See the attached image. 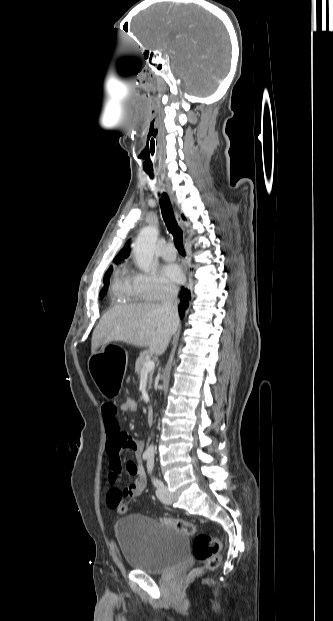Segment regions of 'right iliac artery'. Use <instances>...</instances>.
I'll return each mask as SVG.
<instances>
[{
    "label": "right iliac artery",
    "instance_id": "right-iliac-artery-1",
    "mask_svg": "<svg viewBox=\"0 0 333 621\" xmlns=\"http://www.w3.org/2000/svg\"><path fill=\"white\" fill-rule=\"evenodd\" d=\"M149 457H150V456H149L148 454H146V453H144V454H143V459H144V460L149 459Z\"/></svg>",
    "mask_w": 333,
    "mask_h": 621
}]
</instances>
